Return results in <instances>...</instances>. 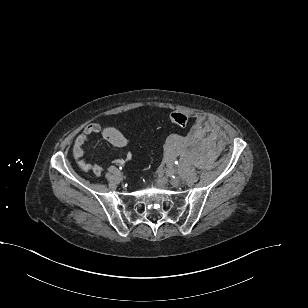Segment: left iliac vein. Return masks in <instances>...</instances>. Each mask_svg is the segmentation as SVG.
Returning a JSON list of instances; mask_svg holds the SVG:
<instances>
[{
    "label": "left iliac vein",
    "mask_w": 308,
    "mask_h": 308,
    "mask_svg": "<svg viewBox=\"0 0 308 308\" xmlns=\"http://www.w3.org/2000/svg\"><path fill=\"white\" fill-rule=\"evenodd\" d=\"M170 182H171V184H172L173 186L177 187V186L180 185L181 180H180L179 177H175V178H172V179L170 180Z\"/></svg>",
    "instance_id": "left-iliac-vein-1"
}]
</instances>
